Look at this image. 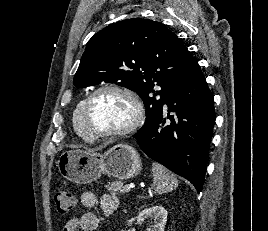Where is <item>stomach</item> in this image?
Here are the masks:
<instances>
[{"label":"stomach","mask_w":268,"mask_h":231,"mask_svg":"<svg viewBox=\"0 0 268 231\" xmlns=\"http://www.w3.org/2000/svg\"><path fill=\"white\" fill-rule=\"evenodd\" d=\"M56 165L61 176L77 184L91 183L103 174L119 180L130 179L142 169L139 154L127 144H117L103 154L80 149L65 151Z\"/></svg>","instance_id":"obj_1"}]
</instances>
